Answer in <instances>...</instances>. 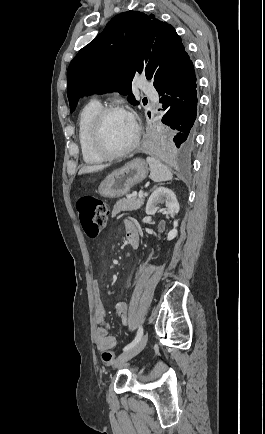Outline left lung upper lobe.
Returning <instances> with one entry per match:
<instances>
[{"instance_id": "1", "label": "left lung upper lobe", "mask_w": 265, "mask_h": 434, "mask_svg": "<svg viewBox=\"0 0 265 434\" xmlns=\"http://www.w3.org/2000/svg\"><path fill=\"white\" fill-rule=\"evenodd\" d=\"M186 55L172 25L139 11L123 12L71 61L67 71L70 112L80 97L92 93L118 91L129 94L128 101L136 105L131 94L135 74L145 73L159 90Z\"/></svg>"}]
</instances>
